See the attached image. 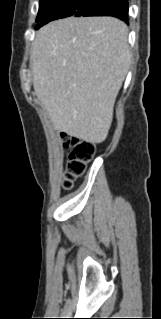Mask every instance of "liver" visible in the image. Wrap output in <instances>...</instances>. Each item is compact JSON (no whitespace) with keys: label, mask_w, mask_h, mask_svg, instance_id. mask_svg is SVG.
Here are the masks:
<instances>
[{"label":"liver","mask_w":161,"mask_h":319,"mask_svg":"<svg viewBox=\"0 0 161 319\" xmlns=\"http://www.w3.org/2000/svg\"><path fill=\"white\" fill-rule=\"evenodd\" d=\"M127 36L113 17H71L37 31L33 86L56 130L94 144L106 139L130 66Z\"/></svg>","instance_id":"liver-1"}]
</instances>
